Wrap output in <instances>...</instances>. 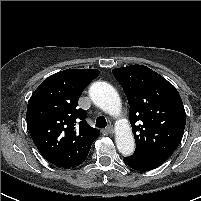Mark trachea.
Here are the masks:
<instances>
[{
    "label": "trachea",
    "mask_w": 201,
    "mask_h": 201,
    "mask_svg": "<svg viewBox=\"0 0 201 201\" xmlns=\"http://www.w3.org/2000/svg\"><path fill=\"white\" fill-rule=\"evenodd\" d=\"M107 125L106 119L103 116H99L96 119V126L99 128H105Z\"/></svg>",
    "instance_id": "obj_1"
}]
</instances>
